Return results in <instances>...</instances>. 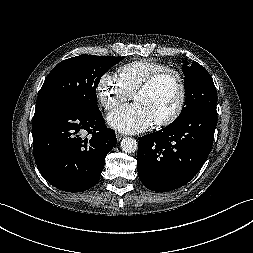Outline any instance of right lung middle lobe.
I'll return each mask as SVG.
<instances>
[{"mask_svg": "<svg viewBox=\"0 0 253 253\" xmlns=\"http://www.w3.org/2000/svg\"><path fill=\"white\" fill-rule=\"evenodd\" d=\"M123 58L81 55L60 62L46 77L36 107L52 103L98 110L96 88L101 76Z\"/></svg>", "mask_w": 253, "mask_h": 253, "instance_id": "obj_1", "label": "right lung middle lobe"}]
</instances>
